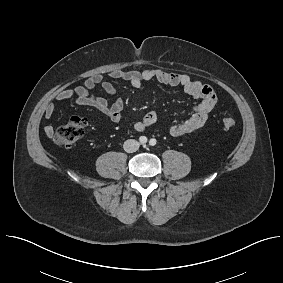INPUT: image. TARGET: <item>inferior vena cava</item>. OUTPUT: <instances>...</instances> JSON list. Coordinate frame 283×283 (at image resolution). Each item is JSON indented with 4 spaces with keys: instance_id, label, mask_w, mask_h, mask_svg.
<instances>
[{
    "instance_id": "inferior-vena-cava-1",
    "label": "inferior vena cava",
    "mask_w": 283,
    "mask_h": 283,
    "mask_svg": "<svg viewBox=\"0 0 283 283\" xmlns=\"http://www.w3.org/2000/svg\"><path fill=\"white\" fill-rule=\"evenodd\" d=\"M123 148L127 153L136 152L139 148V142L134 139H128L124 142Z\"/></svg>"
}]
</instances>
